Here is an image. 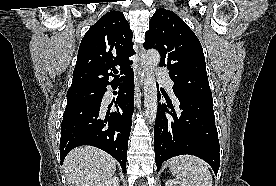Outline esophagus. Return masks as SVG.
I'll list each match as a JSON object with an SVG mask.
<instances>
[{"mask_svg": "<svg viewBox=\"0 0 276 186\" xmlns=\"http://www.w3.org/2000/svg\"><path fill=\"white\" fill-rule=\"evenodd\" d=\"M140 60H139V67L137 71V78H138V86H141L145 77L146 73V56L143 47H140ZM138 102L137 96L135 95V104Z\"/></svg>", "mask_w": 276, "mask_h": 186, "instance_id": "34e87169", "label": "esophagus"}]
</instances>
